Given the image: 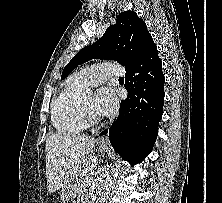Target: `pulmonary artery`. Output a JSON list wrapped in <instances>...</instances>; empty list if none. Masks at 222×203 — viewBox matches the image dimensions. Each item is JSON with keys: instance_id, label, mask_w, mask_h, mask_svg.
<instances>
[{"instance_id": "obj_1", "label": "pulmonary artery", "mask_w": 222, "mask_h": 203, "mask_svg": "<svg viewBox=\"0 0 222 203\" xmlns=\"http://www.w3.org/2000/svg\"><path fill=\"white\" fill-rule=\"evenodd\" d=\"M125 74V69L118 64L101 63L92 65L76 72L72 78L84 87L98 85L110 77Z\"/></svg>"}]
</instances>
